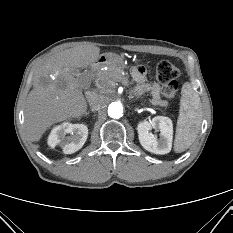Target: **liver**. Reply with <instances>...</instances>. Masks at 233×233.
Here are the masks:
<instances>
[{"label": "liver", "mask_w": 233, "mask_h": 233, "mask_svg": "<svg viewBox=\"0 0 233 233\" xmlns=\"http://www.w3.org/2000/svg\"><path fill=\"white\" fill-rule=\"evenodd\" d=\"M99 56V47L84 43L54 53L35 71L25 106V130L32 142H38L53 124L86 113L75 71L92 65Z\"/></svg>", "instance_id": "liver-1"}]
</instances>
